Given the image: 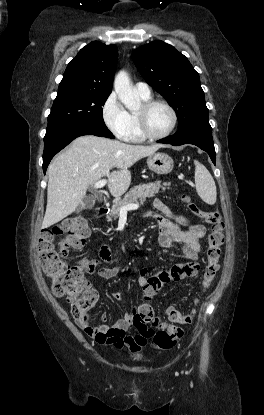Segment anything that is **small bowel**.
Instances as JSON below:
<instances>
[{
  "label": "small bowel",
  "mask_w": 264,
  "mask_h": 415,
  "mask_svg": "<svg viewBox=\"0 0 264 415\" xmlns=\"http://www.w3.org/2000/svg\"><path fill=\"white\" fill-rule=\"evenodd\" d=\"M144 216L156 223L159 230V243L162 248L180 250L183 257L190 264L196 266L195 262L201 250L200 240L206 233V228L203 225H192L188 231H182L179 224L173 223L167 218L175 217L177 220H181V217L158 199L154 200L153 209L147 210ZM82 267L86 273H96L101 278L108 280L116 278L121 271L120 266L107 267L95 260L84 262ZM196 271L197 268L193 275L196 274ZM151 280L148 268H140L137 281L143 292L146 293L148 291ZM112 296L116 301L124 302L123 297L119 293L113 292ZM136 312L137 309H134L133 313L124 314L113 325L102 323L91 329H84V331L94 338L97 344L126 347L130 352L139 354L145 345L146 339L138 340L136 337L131 338L126 335ZM107 318L108 314L103 313L101 316L102 321H105Z\"/></svg>",
  "instance_id": "1"
}]
</instances>
